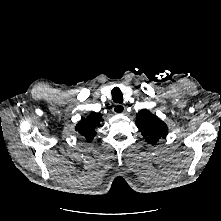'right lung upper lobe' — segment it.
Masks as SVG:
<instances>
[{"label":"right lung upper lobe","instance_id":"cb5924a9","mask_svg":"<svg viewBox=\"0 0 221 221\" xmlns=\"http://www.w3.org/2000/svg\"><path fill=\"white\" fill-rule=\"evenodd\" d=\"M102 115L91 112L86 118H83L75 127L76 131L85 136L88 141H91L95 135V129L100 125Z\"/></svg>","mask_w":221,"mask_h":221}]
</instances>
